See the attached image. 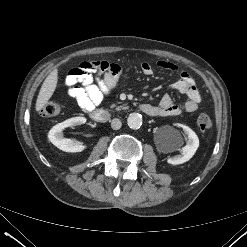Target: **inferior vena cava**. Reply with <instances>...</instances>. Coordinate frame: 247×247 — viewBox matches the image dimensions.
I'll use <instances>...</instances> for the list:
<instances>
[{
  "label": "inferior vena cava",
  "instance_id": "602c4592",
  "mask_svg": "<svg viewBox=\"0 0 247 247\" xmlns=\"http://www.w3.org/2000/svg\"><path fill=\"white\" fill-rule=\"evenodd\" d=\"M121 121L118 119V118H114L112 121H111V127L112 129L114 130H118L121 128Z\"/></svg>",
  "mask_w": 247,
  "mask_h": 247
}]
</instances>
